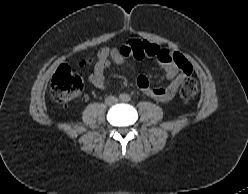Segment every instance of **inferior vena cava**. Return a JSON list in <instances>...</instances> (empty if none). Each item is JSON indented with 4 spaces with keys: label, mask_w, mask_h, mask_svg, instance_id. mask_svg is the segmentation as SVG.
I'll list each match as a JSON object with an SVG mask.
<instances>
[{
    "label": "inferior vena cava",
    "mask_w": 248,
    "mask_h": 194,
    "mask_svg": "<svg viewBox=\"0 0 248 194\" xmlns=\"http://www.w3.org/2000/svg\"><path fill=\"white\" fill-rule=\"evenodd\" d=\"M118 102V99L115 96H108L105 99V104L108 106L114 105Z\"/></svg>",
    "instance_id": "1"
}]
</instances>
